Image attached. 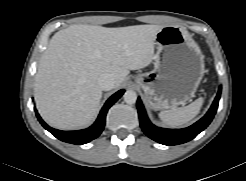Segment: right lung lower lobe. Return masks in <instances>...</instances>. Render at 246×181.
<instances>
[{"mask_svg": "<svg viewBox=\"0 0 246 181\" xmlns=\"http://www.w3.org/2000/svg\"><path fill=\"white\" fill-rule=\"evenodd\" d=\"M124 90H120L112 95L103 106L97 120L95 123L84 130L79 131H60L57 129H53L49 127L39 116L38 112L36 111V116L42 126L52 133L56 138L60 139L61 141L72 143L76 145H81L90 142L91 140L97 138L102 130L104 129L105 125V118L108 109L123 95Z\"/></svg>", "mask_w": 246, "mask_h": 181, "instance_id": "1", "label": "right lung lower lobe"}]
</instances>
